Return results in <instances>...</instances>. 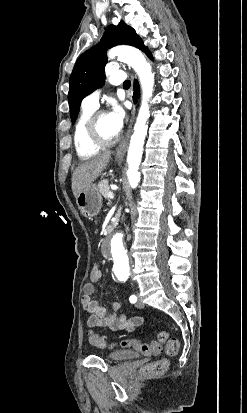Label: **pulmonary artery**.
<instances>
[{
    "label": "pulmonary artery",
    "mask_w": 247,
    "mask_h": 413,
    "mask_svg": "<svg viewBox=\"0 0 247 413\" xmlns=\"http://www.w3.org/2000/svg\"><path fill=\"white\" fill-rule=\"evenodd\" d=\"M124 75H125V70L120 68L117 70L116 73L108 75L105 79V82L107 84L117 85L124 79L123 78ZM101 92H102V86H98L94 90H92L89 94H87L83 99L85 105L92 109L96 108L98 106V100L101 95Z\"/></svg>",
    "instance_id": "obj_1"
}]
</instances>
